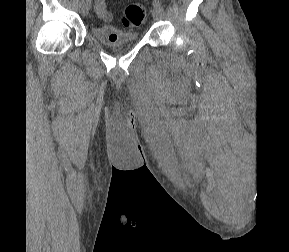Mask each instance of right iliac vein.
<instances>
[{
	"mask_svg": "<svg viewBox=\"0 0 289 252\" xmlns=\"http://www.w3.org/2000/svg\"><path fill=\"white\" fill-rule=\"evenodd\" d=\"M78 8H79L80 13L83 16H86L89 13L90 4L87 1L81 0Z\"/></svg>",
	"mask_w": 289,
	"mask_h": 252,
	"instance_id": "obj_1",
	"label": "right iliac vein"
}]
</instances>
